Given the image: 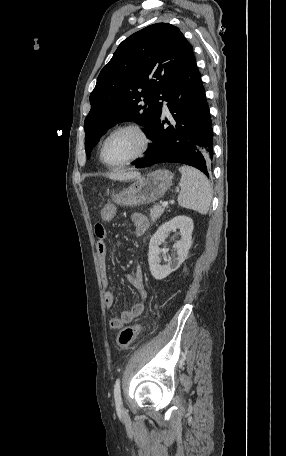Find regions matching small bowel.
I'll return each mask as SVG.
<instances>
[{
    "mask_svg": "<svg viewBox=\"0 0 286 456\" xmlns=\"http://www.w3.org/2000/svg\"><path fill=\"white\" fill-rule=\"evenodd\" d=\"M116 214V208L113 205L105 206L101 211V219L104 222L111 221ZM130 221L137 235L144 234L149 226L147 217L139 212H134L130 215ZM95 233L97 236V256L99 259L101 280L104 287H108L110 284V278L108 268L106 264L107 257V231L102 224L95 226ZM128 282L139 290L142 297H146L147 291L144 283L143 268L140 265L134 267V269L127 275ZM104 300L107 307H112L115 302V296L113 292L107 290L104 294ZM144 311V303L139 302L134 304L130 309L123 311L119 316H115L110 319L109 326L111 329H120L125 324L131 322L135 318L142 315Z\"/></svg>",
    "mask_w": 286,
    "mask_h": 456,
    "instance_id": "1",
    "label": "small bowel"
}]
</instances>
